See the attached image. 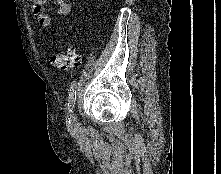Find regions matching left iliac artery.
Instances as JSON below:
<instances>
[{
	"label": "left iliac artery",
	"instance_id": "obj_1",
	"mask_svg": "<svg viewBox=\"0 0 221 174\" xmlns=\"http://www.w3.org/2000/svg\"><path fill=\"white\" fill-rule=\"evenodd\" d=\"M76 101V81H72L69 91H68V99H67V107L69 113L73 111L75 107Z\"/></svg>",
	"mask_w": 221,
	"mask_h": 174
}]
</instances>
